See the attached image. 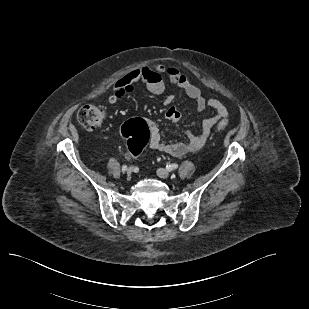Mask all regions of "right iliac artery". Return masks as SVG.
Wrapping results in <instances>:
<instances>
[{
    "instance_id": "obj_1",
    "label": "right iliac artery",
    "mask_w": 309,
    "mask_h": 309,
    "mask_svg": "<svg viewBox=\"0 0 309 309\" xmlns=\"http://www.w3.org/2000/svg\"><path fill=\"white\" fill-rule=\"evenodd\" d=\"M126 170H127V166H126V165H123V166H122V171L125 172Z\"/></svg>"
}]
</instances>
